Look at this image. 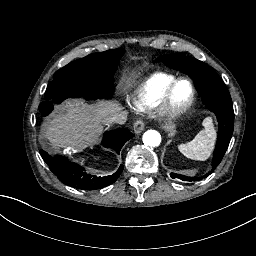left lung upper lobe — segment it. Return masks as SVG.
<instances>
[{
	"mask_svg": "<svg viewBox=\"0 0 256 256\" xmlns=\"http://www.w3.org/2000/svg\"><path fill=\"white\" fill-rule=\"evenodd\" d=\"M158 61H163L171 68L188 74L194 80L203 103L217 115L219 132L212 169L206 175L197 178L203 179L209 176L221 162L233 133L234 111L229 91L213 68L191 56L168 54L160 56Z\"/></svg>",
	"mask_w": 256,
	"mask_h": 256,
	"instance_id": "5c2ea615",
	"label": "left lung upper lobe"
}]
</instances>
